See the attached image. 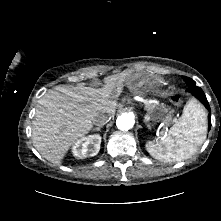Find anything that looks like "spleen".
<instances>
[{
  "label": "spleen",
  "instance_id": "spleen-1",
  "mask_svg": "<svg viewBox=\"0 0 221 221\" xmlns=\"http://www.w3.org/2000/svg\"><path fill=\"white\" fill-rule=\"evenodd\" d=\"M207 113L195 99L184 106L182 116L159 141H148L146 150L160 161L180 162L190 158L206 139Z\"/></svg>",
  "mask_w": 221,
  "mask_h": 221
}]
</instances>
